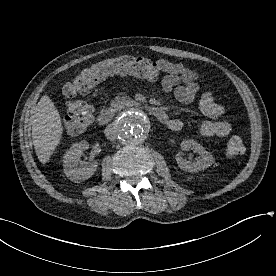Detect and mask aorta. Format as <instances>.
I'll list each match as a JSON object with an SVG mask.
<instances>
[{"instance_id":"762f6f07","label":"aorta","mask_w":276,"mask_h":276,"mask_svg":"<svg viewBox=\"0 0 276 276\" xmlns=\"http://www.w3.org/2000/svg\"><path fill=\"white\" fill-rule=\"evenodd\" d=\"M149 130V122L144 112L132 108L123 113L118 121L117 135L120 142L135 145L143 142Z\"/></svg>"}]
</instances>
